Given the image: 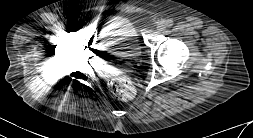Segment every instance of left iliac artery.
Here are the masks:
<instances>
[{"instance_id": "left-iliac-artery-1", "label": "left iliac artery", "mask_w": 253, "mask_h": 138, "mask_svg": "<svg viewBox=\"0 0 253 138\" xmlns=\"http://www.w3.org/2000/svg\"><path fill=\"white\" fill-rule=\"evenodd\" d=\"M174 24L173 20L172 19H168L166 22H165V26L170 28L172 27Z\"/></svg>"}]
</instances>
